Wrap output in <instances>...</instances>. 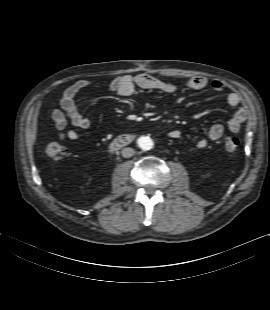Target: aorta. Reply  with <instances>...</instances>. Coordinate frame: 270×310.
<instances>
[{
  "mask_svg": "<svg viewBox=\"0 0 270 310\" xmlns=\"http://www.w3.org/2000/svg\"><path fill=\"white\" fill-rule=\"evenodd\" d=\"M137 143L139 145L140 148L144 149V150H149L151 148H153V141L151 138L146 137V136H142L137 140Z\"/></svg>",
  "mask_w": 270,
  "mask_h": 310,
  "instance_id": "obj_1",
  "label": "aorta"
}]
</instances>
